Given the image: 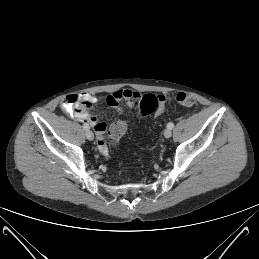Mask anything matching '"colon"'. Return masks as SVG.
I'll use <instances>...</instances> for the list:
<instances>
[{"instance_id": "obj_1", "label": "colon", "mask_w": 259, "mask_h": 259, "mask_svg": "<svg viewBox=\"0 0 259 259\" xmlns=\"http://www.w3.org/2000/svg\"><path fill=\"white\" fill-rule=\"evenodd\" d=\"M175 100L178 104L185 107H192L196 104L194 97L186 93H178L175 97ZM134 105L138 116L141 117L155 111L159 105V99L155 95L145 94L139 96L135 100ZM126 128L127 124L125 121H117L110 126L109 137L113 145L118 143L120 138L124 135ZM107 154H109V150L107 151Z\"/></svg>"}]
</instances>
